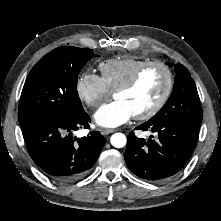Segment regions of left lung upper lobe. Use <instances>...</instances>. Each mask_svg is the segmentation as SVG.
<instances>
[{
	"label": "left lung upper lobe",
	"instance_id": "1",
	"mask_svg": "<svg viewBox=\"0 0 221 221\" xmlns=\"http://www.w3.org/2000/svg\"><path fill=\"white\" fill-rule=\"evenodd\" d=\"M175 70L173 92L162 109L150 120L170 118L199 130L202 122V108L194 80L183 65H176Z\"/></svg>",
	"mask_w": 221,
	"mask_h": 221
}]
</instances>
